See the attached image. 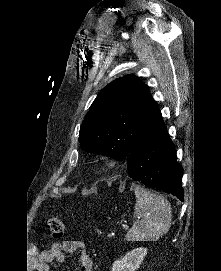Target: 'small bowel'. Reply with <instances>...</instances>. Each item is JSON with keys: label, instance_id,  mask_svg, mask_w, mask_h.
Here are the masks:
<instances>
[{"label": "small bowel", "instance_id": "obj_1", "mask_svg": "<svg viewBox=\"0 0 221 271\" xmlns=\"http://www.w3.org/2000/svg\"><path fill=\"white\" fill-rule=\"evenodd\" d=\"M79 253V271H92V259L87 251L86 243L82 240H63L55 242L39 255L38 271H49V263L57 261L64 263L66 253Z\"/></svg>", "mask_w": 221, "mask_h": 271}]
</instances>
